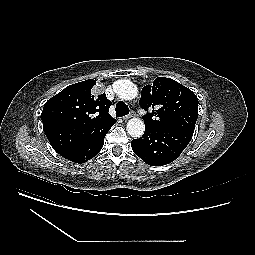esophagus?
Segmentation results:
<instances>
[{
	"label": "esophagus",
	"mask_w": 255,
	"mask_h": 255,
	"mask_svg": "<svg viewBox=\"0 0 255 255\" xmlns=\"http://www.w3.org/2000/svg\"><path fill=\"white\" fill-rule=\"evenodd\" d=\"M132 116H133V114L131 113V114H129V115L124 116L123 119L126 121V120H128L129 118H131Z\"/></svg>",
	"instance_id": "esophagus-1"
}]
</instances>
